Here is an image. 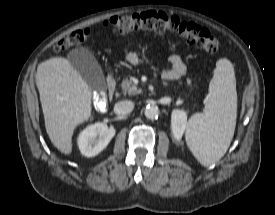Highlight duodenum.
Wrapping results in <instances>:
<instances>
[{
    "label": "duodenum",
    "instance_id": "1",
    "mask_svg": "<svg viewBox=\"0 0 275 215\" xmlns=\"http://www.w3.org/2000/svg\"><path fill=\"white\" fill-rule=\"evenodd\" d=\"M116 91V79L113 75L107 78V96L112 98Z\"/></svg>",
    "mask_w": 275,
    "mask_h": 215
}]
</instances>
